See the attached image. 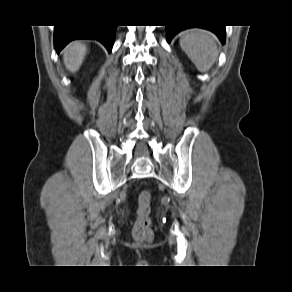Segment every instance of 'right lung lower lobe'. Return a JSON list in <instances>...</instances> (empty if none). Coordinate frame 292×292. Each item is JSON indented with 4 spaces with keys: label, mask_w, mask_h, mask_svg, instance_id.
Listing matches in <instances>:
<instances>
[{
    "label": "right lung lower lobe",
    "mask_w": 292,
    "mask_h": 292,
    "mask_svg": "<svg viewBox=\"0 0 292 292\" xmlns=\"http://www.w3.org/2000/svg\"><path fill=\"white\" fill-rule=\"evenodd\" d=\"M116 26L77 25L56 26L54 44L59 53L67 43L77 39H94L100 41L109 52L112 50Z\"/></svg>",
    "instance_id": "obj_1"
}]
</instances>
